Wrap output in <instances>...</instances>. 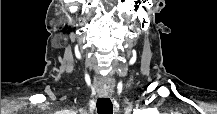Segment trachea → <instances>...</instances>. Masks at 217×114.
<instances>
[{
  "label": "trachea",
  "instance_id": "3493384b",
  "mask_svg": "<svg viewBox=\"0 0 217 114\" xmlns=\"http://www.w3.org/2000/svg\"><path fill=\"white\" fill-rule=\"evenodd\" d=\"M98 114H112L113 104L109 98H99L96 103Z\"/></svg>",
  "mask_w": 217,
  "mask_h": 114
}]
</instances>
